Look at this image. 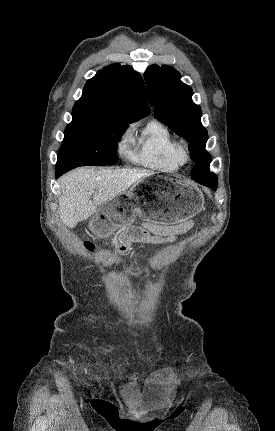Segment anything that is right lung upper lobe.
<instances>
[{
	"instance_id": "right-lung-upper-lobe-1",
	"label": "right lung upper lobe",
	"mask_w": 275,
	"mask_h": 431,
	"mask_svg": "<svg viewBox=\"0 0 275 431\" xmlns=\"http://www.w3.org/2000/svg\"><path fill=\"white\" fill-rule=\"evenodd\" d=\"M149 113L142 77L132 67L120 64L104 67L89 79L72 110L73 118L111 117L127 123Z\"/></svg>"
}]
</instances>
